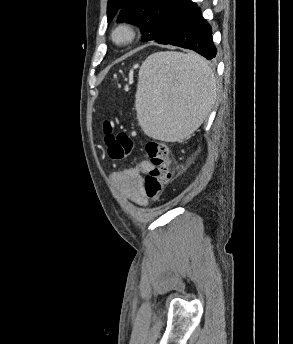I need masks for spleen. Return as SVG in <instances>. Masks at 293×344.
Returning <instances> with one entry per match:
<instances>
[{"mask_svg":"<svg viewBox=\"0 0 293 344\" xmlns=\"http://www.w3.org/2000/svg\"><path fill=\"white\" fill-rule=\"evenodd\" d=\"M216 91V77L199 55L154 53L139 71L135 96L139 125L154 139H183L203 123Z\"/></svg>","mask_w":293,"mask_h":344,"instance_id":"obj_1","label":"spleen"}]
</instances>
